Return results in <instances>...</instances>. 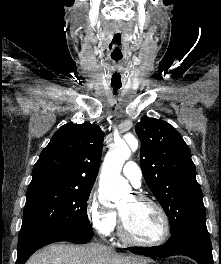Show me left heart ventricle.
Wrapping results in <instances>:
<instances>
[{"instance_id": "b2bd125f", "label": "left heart ventricle", "mask_w": 221, "mask_h": 264, "mask_svg": "<svg viewBox=\"0 0 221 264\" xmlns=\"http://www.w3.org/2000/svg\"><path fill=\"white\" fill-rule=\"evenodd\" d=\"M118 210L128 231L135 239L151 242L161 237L163 221L151 204L138 202L133 197H129L118 207Z\"/></svg>"}]
</instances>
